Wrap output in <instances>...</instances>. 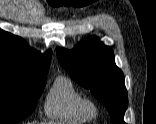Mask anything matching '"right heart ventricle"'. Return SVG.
<instances>
[{
    "mask_svg": "<svg viewBox=\"0 0 156 124\" xmlns=\"http://www.w3.org/2000/svg\"><path fill=\"white\" fill-rule=\"evenodd\" d=\"M84 95L73 81L60 75L53 81L45 100L44 110L49 119L71 124L86 123L94 119L95 114L83 108Z\"/></svg>",
    "mask_w": 156,
    "mask_h": 124,
    "instance_id": "1",
    "label": "right heart ventricle"
}]
</instances>
